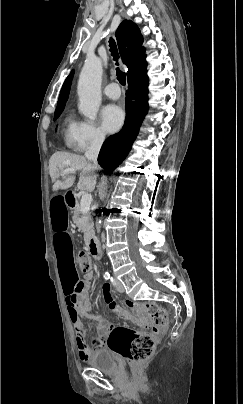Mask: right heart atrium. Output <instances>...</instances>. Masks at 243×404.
<instances>
[{"mask_svg": "<svg viewBox=\"0 0 243 404\" xmlns=\"http://www.w3.org/2000/svg\"><path fill=\"white\" fill-rule=\"evenodd\" d=\"M104 141V133L94 122L86 119L73 120L67 139V146L73 152L82 153L99 148Z\"/></svg>", "mask_w": 243, "mask_h": 404, "instance_id": "obj_1", "label": "right heart atrium"}]
</instances>
